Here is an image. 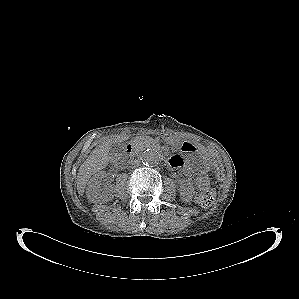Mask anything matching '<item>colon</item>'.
<instances>
[{
	"instance_id": "obj_1",
	"label": "colon",
	"mask_w": 299,
	"mask_h": 299,
	"mask_svg": "<svg viewBox=\"0 0 299 299\" xmlns=\"http://www.w3.org/2000/svg\"><path fill=\"white\" fill-rule=\"evenodd\" d=\"M196 183L198 187L201 189V191L196 194L195 202L203 208L210 207L214 202L215 194L209 188V178L206 175L202 174L197 177Z\"/></svg>"
}]
</instances>
